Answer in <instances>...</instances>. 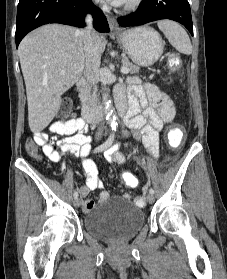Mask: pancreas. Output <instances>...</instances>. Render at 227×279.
<instances>
[{"label":"pancreas","instance_id":"1","mask_svg":"<svg viewBox=\"0 0 227 279\" xmlns=\"http://www.w3.org/2000/svg\"><path fill=\"white\" fill-rule=\"evenodd\" d=\"M122 65L129 69L128 73L130 74H137L140 71V67L129 62V60L126 58L122 59ZM82 100L89 105H97L98 104L97 89L91 91L90 87L84 88L82 90Z\"/></svg>","mask_w":227,"mask_h":279}]
</instances>
